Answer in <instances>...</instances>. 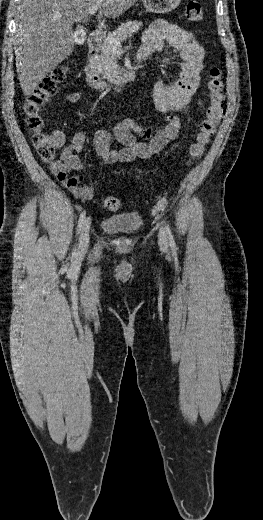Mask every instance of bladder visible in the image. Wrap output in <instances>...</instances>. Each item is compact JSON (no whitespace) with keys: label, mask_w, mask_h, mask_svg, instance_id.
<instances>
[{"label":"bladder","mask_w":263,"mask_h":520,"mask_svg":"<svg viewBox=\"0 0 263 520\" xmlns=\"http://www.w3.org/2000/svg\"><path fill=\"white\" fill-rule=\"evenodd\" d=\"M143 219L135 212L116 214L101 221L103 231L112 234H132L141 229Z\"/></svg>","instance_id":"31cf9c89"}]
</instances>
